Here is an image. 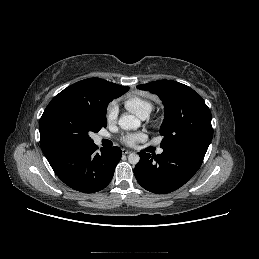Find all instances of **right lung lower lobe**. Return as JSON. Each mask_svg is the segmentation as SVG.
I'll return each instance as SVG.
<instances>
[{"label":"right lung lower lobe","mask_w":259,"mask_h":259,"mask_svg":"<svg viewBox=\"0 0 259 259\" xmlns=\"http://www.w3.org/2000/svg\"><path fill=\"white\" fill-rule=\"evenodd\" d=\"M69 146L54 150L47 160L56 175L69 187L84 193L104 189L111 181L122 151L119 147Z\"/></svg>","instance_id":"right-lung-lower-lobe-1"}]
</instances>
